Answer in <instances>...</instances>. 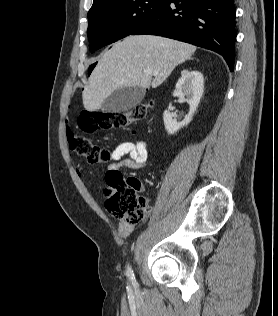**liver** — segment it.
<instances>
[{
  "mask_svg": "<svg viewBox=\"0 0 278 316\" xmlns=\"http://www.w3.org/2000/svg\"><path fill=\"white\" fill-rule=\"evenodd\" d=\"M195 51L191 44L155 35H132L115 43L103 53L82 92L85 109H100L122 87H158ZM148 70L157 74L149 75Z\"/></svg>",
  "mask_w": 278,
  "mask_h": 316,
  "instance_id": "1",
  "label": "liver"
}]
</instances>
